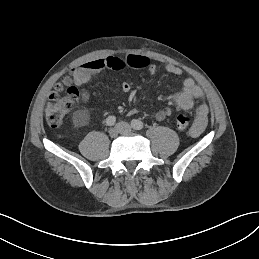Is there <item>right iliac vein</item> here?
<instances>
[{
  "label": "right iliac vein",
  "instance_id": "obj_1",
  "mask_svg": "<svg viewBox=\"0 0 259 259\" xmlns=\"http://www.w3.org/2000/svg\"><path fill=\"white\" fill-rule=\"evenodd\" d=\"M118 134H119V130H118L117 127H113V128H111V129L109 130V136H110L111 138H116V137L118 136Z\"/></svg>",
  "mask_w": 259,
  "mask_h": 259
}]
</instances>
